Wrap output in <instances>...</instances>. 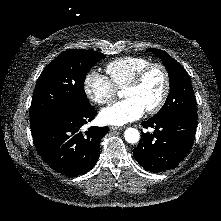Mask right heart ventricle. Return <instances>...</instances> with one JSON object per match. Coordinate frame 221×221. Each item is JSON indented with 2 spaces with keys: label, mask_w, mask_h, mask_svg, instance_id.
<instances>
[{
  "label": "right heart ventricle",
  "mask_w": 221,
  "mask_h": 221,
  "mask_svg": "<svg viewBox=\"0 0 221 221\" xmlns=\"http://www.w3.org/2000/svg\"><path fill=\"white\" fill-rule=\"evenodd\" d=\"M149 59L141 56H123L109 62L105 69L116 88H124L133 76L148 65Z\"/></svg>",
  "instance_id": "1"
}]
</instances>
